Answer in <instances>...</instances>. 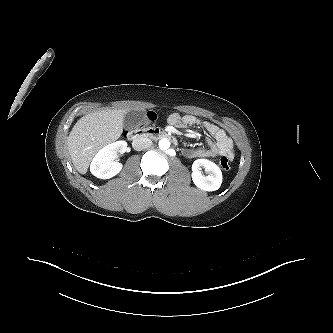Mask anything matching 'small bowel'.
I'll list each match as a JSON object with an SVG mask.
<instances>
[{"label":"small bowel","instance_id":"obj_1","mask_svg":"<svg viewBox=\"0 0 333 333\" xmlns=\"http://www.w3.org/2000/svg\"><path fill=\"white\" fill-rule=\"evenodd\" d=\"M170 126L176 128L199 126L205 129L213 139H208L207 147L199 149H188L185 156L194 158H215L226 155L230 159L234 157V146L231 138L227 133L216 124L209 121H202L191 114L172 113L167 118Z\"/></svg>","mask_w":333,"mask_h":333}]
</instances>
